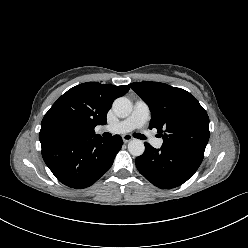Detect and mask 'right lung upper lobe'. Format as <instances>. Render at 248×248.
<instances>
[{"instance_id": "1", "label": "right lung upper lobe", "mask_w": 248, "mask_h": 248, "mask_svg": "<svg viewBox=\"0 0 248 248\" xmlns=\"http://www.w3.org/2000/svg\"><path fill=\"white\" fill-rule=\"evenodd\" d=\"M129 85L114 86L87 82L64 93L45 114L39 134L40 142L50 141L47 137L52 127L61 125L68 135L65 139H89L95 135L97 125L106 124L107 112L113 101L126 94Z\"/></svg>"}]
</instances>
